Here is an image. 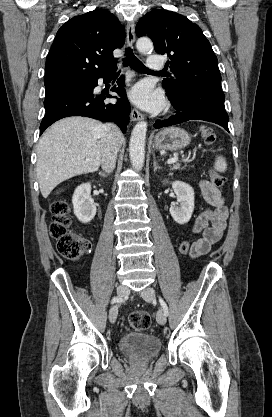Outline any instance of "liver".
I'll return each instance as SVG.
<instances>
[{
    "instance_id": "6515ba94",
    "label": "liver",
    "mask_w": 272,
    "mask_h": 417,
    "mask_svg": "<svg viewBox=\"0 0 272 417\" xmlns=\"http://www.w3.org/2000/svg\"><path fill=\"white\" fill-rule=\"evenodd\" d=\"M103 126L87 117H68L42 135L37 148L36 172L44 198L61 182L99 169ZM123 141L121 135L120 144Z\"/></svg>"
}]
</instances>
